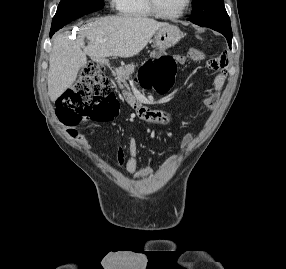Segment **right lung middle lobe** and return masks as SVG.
I'll return each instance as SVG.
<instances>
[{
  "mask_svg": "<svg viewBox=\"0 0 286 269\" xmlns=\"http://www.w3.org/2000/svg\"><path fill=\"white\" fill-rule=\"evenodd\" d=\"M103 5V0H61L53 17L51 30H59L74 19L102 9Z\"/></svg>",
  "mask_w": 286,
  "mask_h": 269,
  "instance_id": "obj_1",
  "label": "right lung middle lobe"
}]
</instances>
